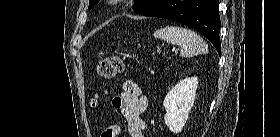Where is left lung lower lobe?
I'll return each mask as SVG.
<instances>
[{
	"label": "left lung lower lobe",
	"instance_id": "1",
	"mask_svg": "<svg viewBox=\"0 0 280 137\" xmlns=\"http://www.w3.org/2000/svg\"><path fill=\"white\" fill-rule=\"evenodd\" d=\"M218 5V0H161L143 15L170 19L197 30L210 40L220 55Z\"/></svg>",
	"mask_w": 280,
	"mask_h": 137
}]
</instances>
